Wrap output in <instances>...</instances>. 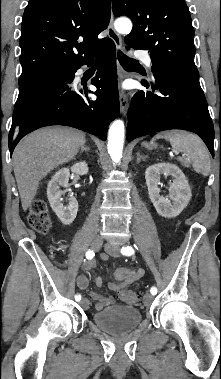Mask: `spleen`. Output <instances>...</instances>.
Masks as SVG:
<instances>
[{
	"mask_svg": "<svg viewBox=\"0 0 221 379\" xmlns=\"http://www.w3.org/2000/svg\"><path fill=\"white\" fill-rule=\"evenodd\" d=\"M166 139L175 152H181L177 160L183 164L191 163L194 170L203 176H208L211 170L210 155L203 141L196 135L180 130L158 133L152 139Z\"/></svg>",
	"mask_w": 221,
	"mask_h": 379,
	"instance_id": "spleen-1",
	"label": "spleen"
}]
</instances>
